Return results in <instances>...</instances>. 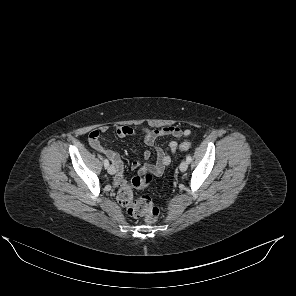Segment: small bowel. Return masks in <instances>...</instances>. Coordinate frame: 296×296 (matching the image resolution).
Wrapping results in <instances>:
<instances>
[{
	"instance_id": "c3829d8e",
	"label": "small bowel",
	"mask_w": 296,
	"mask_h": 296,
	"mask_svg": "<svg viewBox=\"0 0 296 296\" xmlns=\"http://www.w3.org/2000/svg\"><path fill=\"white\" fill-rule=\"evenodd\" d=\"M108 130L107 126H103L98 129H94L89 133L88 141L90 146L99 153L107 156L113 165L115 166V177L114 184L117 187H123L126 185V179L124 177V166L121 156L110 149H106L101 141L100 136ZM115 132L119 137H129L134 136L138 132L128 126H118L115 128ZM143 140L147 146L154 147L156 152V162L154 164H141L139 161H133L131 163V169L137 170L139 173L151 172L155 176H160L165 168L171 163L170 154H175L178 148V144L175 141H171L167 150H164L160 146L156 145L158 138L172 136L175 138L186 137L190 135L191 131L189 129H182L177 125L166 126L158 130H152L143 128L139 131ZM151 157L150 151L146 150L143 152L144 160H148Z\"/></svg>"
}]
</instances>
